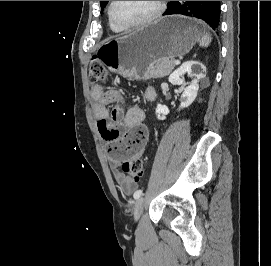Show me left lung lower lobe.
<instances>
[{"label":"left lung lower lobe","mask_w":271,"mask_h":266,"mask_svg":"<svg viewBox=\"0 0 271 266\" xmlns=\"http://www.w3.org/2000/svg\"><path fill=\"white\" fill-rule=\"evenodd\" d=\"M220 1H171L163 15L182 14L204 20L216 32L220 25Z\"/></svg>","instance_id":"0a47b994"}]
</instances>
